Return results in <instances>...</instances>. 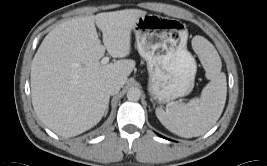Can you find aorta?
<instances>
[{
    "instance_id": "762f6f07",
    "label": "aorta",
    "mask_w": 267,
    "mask_h": 166,
    "mask_svg": "<svg viewBox=\"0 0 267 166\" xmlns=\"http://www.w3.org/2000/svg\"><path fill=\"white\" fill-rule=\"evenodd\" d=\"M140 96L141 91L136 87L130 88L127 92V98L130 101H138L140 99Z\"/></svg>"
}]
</instances>
